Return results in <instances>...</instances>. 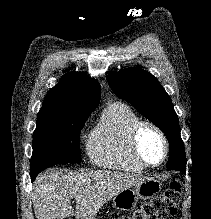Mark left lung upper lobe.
<instances>
[{
	"instance_id": "obj_1",
	"label": "left lung upper lobe",
	"mask_w": 211,
	"mask_h": 219,
	"mask_svg": "<svg viewBox=\"0 0 211 219\" xmlns=\"http://www.w3.org/2000/svg\"><path fill=\"white\" fill-rule=\"evenodd\" d=\"M108 83L119 98L132 104L165 133L170 150L180 152L182 161L186 162L178 116L157 79L142 69L128 68L110 74Z\"/></svg>"
}]
</instances>
